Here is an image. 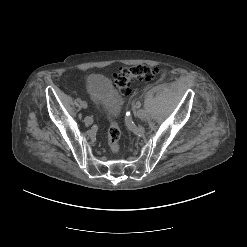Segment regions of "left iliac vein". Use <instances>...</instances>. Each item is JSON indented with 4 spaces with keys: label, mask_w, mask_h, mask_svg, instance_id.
<instances>
[{
    "label": "left iliac vein",
    "mask_w": 247,
    "mask_h": 247,
    "mask_svg": "<svg viewBox=\"0 0 247 247\" xmlns=\"http://www.w3.org/2000/svg\"><path fill=\"white\" fill-rule=\"evenodd\" d=\"M134 114H135L136 116L139 117L138 111L134 110ZM139 118H141V119H146V115L143 116V117H139Z\"/></svg>",
    "instance_id": "4c4485c4"
}]
</instances>
